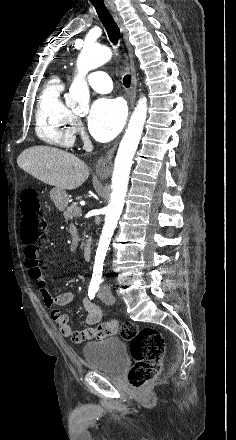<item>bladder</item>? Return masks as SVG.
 Returning a JSON list of instances; mask_svg holds the SVG:
<instances>
[{
    "instance_id": "31cf9c89",
    "label": "bladder",
    "mask_w": 236,
    "mask_h": 440,
    "mask_svg": "<svg viewBox=\"0 0 236 440\" xmlns=\"http://www.w3.org/2000/svg\"><path fill=\"white\" fill-rule=\"evenodd\" d=\"M82 353L89 370L111 378H118L129 362L126 343L116 336L88 342L83 346Z\"/></svg>"
}]
</instances>
